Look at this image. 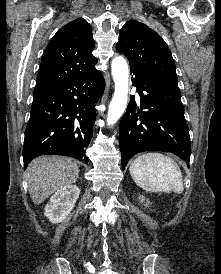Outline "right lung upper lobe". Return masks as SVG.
I'll return each mask as SVG.
<instances>
[{
    "label": "right lung upper lobe",
    "instance_id": "1",
    "mask_svg": "<svg viewBox=\"0 0 221 274\" xmlns=\"http://www.w3.org/2000/svg\"><path fill=\"white\" fill-rule=\"evenodd\" d=\"M94 47L92 29L85 19L78 18L63 26L44 51L34 94L95 71Z\"/></svg>",
    "mask_w": 221,
    "mask_h": 274
}]
</instances>
